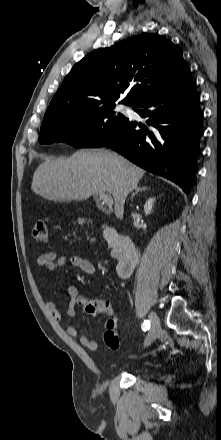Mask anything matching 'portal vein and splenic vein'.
<instances>
[{
	"mask_svg": "<svg viewBox=\"0 0 221 440\" xmlns=\"http://www.w3.org/2000/svg\"><path fill=\"white\" fill-rule=\"evenodd\" d=\"M99 198L103 201V203L107 204L109 208L113 205V199L110 193H99Z\"/></svg>",
	"mask_w": 221,
	"mask_h": 440,
	"instance_id": "1",
	"label": "portal vein and splenic vein"
}]
</instances>
